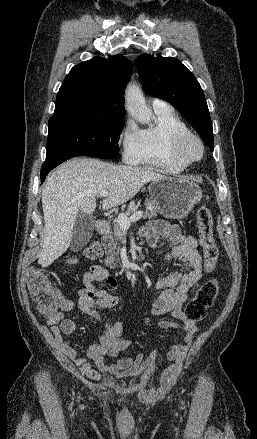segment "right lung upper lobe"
I'll use <instances>...</instances> for the list:
<instances>
[{
  "label": "right lung upper lobe",
  "instance_id": "cb5924a9",
  "mask_svg": "<svg viewBox=\"0 0 257 439\" xmlns=\"http://www.w3.org/2000/svg\"><path fill=\"white\" fill-rule=\"evenodd\" d=\"M131 74L132 63L122 55L94 57L74 66L59 89L53 116L75 111L125 114L124 89Z\"/></svg>",
  "mask_w": 257,
  "mask_h": 439
}]
</instances>
